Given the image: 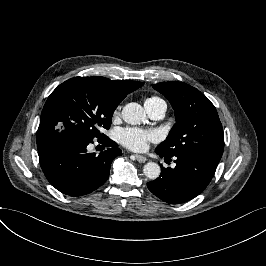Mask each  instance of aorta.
<instances>
[{
  "instance_id": "aorta-1",
  "label": "aorta",
  "mask_w": 266,
  "mask_h": 266,
  "mask_svg": "<svg viewBox=\"0 0 266 266\" xmlns=\"http://www.w3.org/2000/svg\"><path fill=\"white\" fill-rule=\"evenodd\" d=\"M123 120L131 125H138L145 119V113L141 105L136 102H130L125 105L121 112ZM161 173L160 166L155 162L145 164L143 174L150 180H156Z\"/></svg>"
}]
</instances>
